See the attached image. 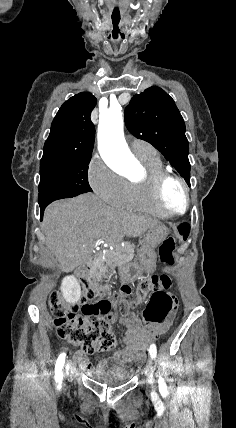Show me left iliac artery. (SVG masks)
I'll return each mask as SVG.
<instances>
[{"instance_id": "obj_1", "label": "left iliac artery", "mask_w": 236, "mask_h": 428, "mask_svg": "<svg viewBox=\"0 0 236 428\" xmlns=\"http://www.w3.org/2000/svg\"><path fill=\"white\" fill-rule=\"evenodd\" d=\"M149 353H150V356H151L152 359L156 358L157 350H156L155 344L150 345Z\"/></svg>"}]
</instances>
